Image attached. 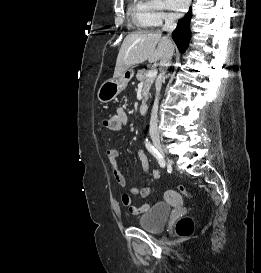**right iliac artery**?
<instances>
[{"instance_id":"obj_1","label":"right iliac artery","mask_w":261,"mask_h":273,"mask_svg":"<svg viewBox=\"0 0 261 273\" xmlns=\"http://www.w3.org/2000/svg\"><path fill=\"white\" fill-rule=\"evenodd\" d=\"M145 145L147 150L158 160L160 167H165V162L162 155L155 149V147L146 139Z\"/></svg>"}]
</instances>
